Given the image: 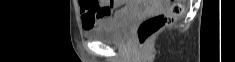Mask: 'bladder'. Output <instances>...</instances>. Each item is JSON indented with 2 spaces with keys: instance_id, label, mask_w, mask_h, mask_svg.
Segmentation results:
<instances>
[{
  "instance_id": "31cf9c89",
  "label": "bladder",
  "mask_w": 235,
  "mask_h": 62,
  "mask_svg": "<svg viewBox=\"0 0 235 62\" xmlns=\"http://www.w3.org/2000/svg\"><path fill=\"white\" fill-rule=\"evenodd\" d=\"M138 7L130 5L119 10L115 16L99 27L86 31V37L109 44L123 42L138 18Z\"/></svg>"
}]
</instances>
